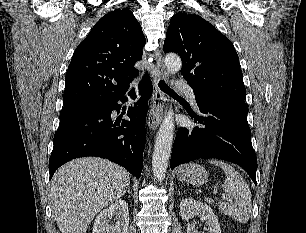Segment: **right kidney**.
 <instances>
[{
    "label": "right kidney",
    "instance_id": "obj_1",
    "mask_svg": "<svg viewBox=\"0 0 306 233\" xmlns=\"http://www.w3.org/2000/svg\"><path fill=\"white\" fill-rule=\"evenodd\" d=\"M117 221L110 225L112 218ZM129 212L125 200L119 199L102 210L95 219L93 233H128Z\"/></svg>",
    "mask_w": 306,
    "mask_h": 233
}]
</instances>
